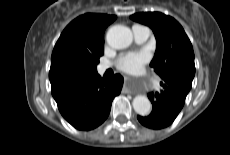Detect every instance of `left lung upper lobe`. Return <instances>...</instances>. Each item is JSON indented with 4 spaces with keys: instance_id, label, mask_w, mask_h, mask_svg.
<instances>
[{
    "instance_id": "left-lung-upper-lobe-1",
    "label": "left lung upper lobe",
    "mask_w": 230,
    "mask_h": 155,
    "mask_svg": "<svg viewBox=\"0 0 230 155\" xmlns=\"http://www.w3.org/2000/svg\"><path fill=\"white\" fill-rule=\"evenodd\" d=\"M134 21L148 25L154 32L157 49L150 66L164 80L178 81L191 89L195 75L192 44L182 26L159 12L136 13Z\"/></svg>"
}]
</instances>
